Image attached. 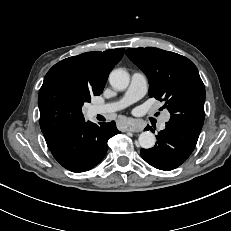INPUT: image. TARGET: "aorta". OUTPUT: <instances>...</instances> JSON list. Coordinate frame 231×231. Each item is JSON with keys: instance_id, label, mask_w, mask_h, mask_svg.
<instances>
[{"instance_id": "762f6f07", "label": "aorta", "mask_w": 231, "mask_h": 231, "mask_svg": "<svg viewBox=\"0 0 231 231\" xmlns=\"http://www.w3.org/2000/svg\"><path fill=\"white\" fill-rule=\"evenodd\" d=\"M111 86L117 90H124L130 82L129 74L123 69H115L109 75ZM139 144L144 149L152 148L156 143L155 135L150 131H144L139 135Z\"/></svg>"}]
</instances>
